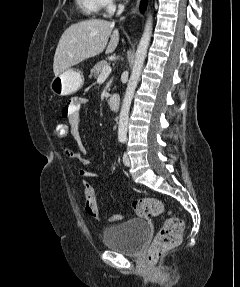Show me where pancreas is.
<instances>
[{"mask_svg":"<svg viewBox=\"0 0 240 287\" xmlns=\"http://www.w3.org/2000/svg\"><path fill=\"white\" fill-rule=\"evenodd\" d=\"M108 65V62L106 60L99 61L94 67L91 69L90 77H98L100 73L102 72L103 68Z\"/></svg>","mask_w":240,"mask_h":287,"instance_id":"obj_1","label":"pancreas"}]
</instances>
